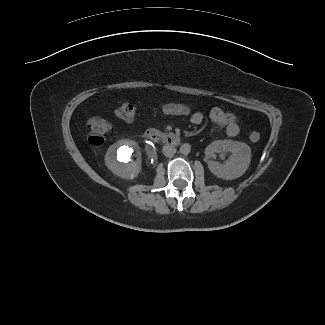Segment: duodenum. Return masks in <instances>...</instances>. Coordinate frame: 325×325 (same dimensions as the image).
Masks as SVG:
<instances>
[{
  "label": "duodenum",
  "mask_w": 325,
  "mask_h": 325,
  "mask_svg": "<svg viewBox=\"0 0 325 325\" xmlns=\"http://www.w3.org/2000/svg\"><path fill=\"white\" fill-rule=\"evenodd\" d=\"M144 138L146 141L161 142L169 146H178L181 142V138L177 134H163L155 130L147 131Z\"/></svg>",
  "instance_id": "1"
}]
</instances>
